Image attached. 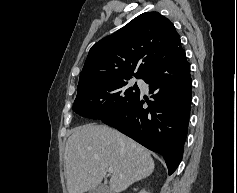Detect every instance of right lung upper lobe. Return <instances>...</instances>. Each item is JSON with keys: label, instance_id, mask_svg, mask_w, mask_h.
I'll list each match as a JSON object with an SVG mask.
<instances>
[{"label": "right lung upper lobe", "instance_id": "right-lung-upper-lobe-1", "mask_svg": "<svg viewBox=\"0 0 237 193\" xmlns=\"http://www.w3.org/2000/svg\"><path fill=\"white\" fill-rule=\"evenodd\" d=\"M181 49L172 22L158 12H145L92 46L77 91L132 75L143 78Z\"/></svg>", "mask_w": 237, "mask_h": 193}]
</instances>
